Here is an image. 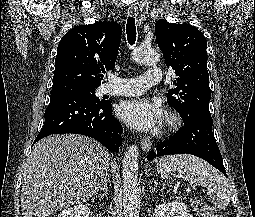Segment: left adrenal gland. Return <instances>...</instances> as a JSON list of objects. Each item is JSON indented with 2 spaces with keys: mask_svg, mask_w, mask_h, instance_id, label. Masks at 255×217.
Masks as SVG:
<instances>
[{
  "mask_svg": "<svg viewBox=\"0 0 255 217\" xmlns=\"http://www.w3.org/2000/svg\"><path fill=\"white\" fill-rule=\"evenodd\" d=\"M158 185H161V184H159L158 182H154V187H153V189H152V192H154L155 190H156V188H157V186Z\"/></svg>",
  "mask_w": 255,
  "mask_h": 217,
  "instance_id": "left-adrenal-gland-1",
  "label": "left adrenal gland"
}]
</instances>
